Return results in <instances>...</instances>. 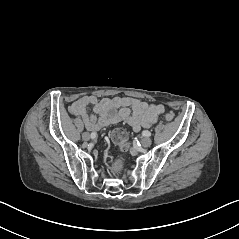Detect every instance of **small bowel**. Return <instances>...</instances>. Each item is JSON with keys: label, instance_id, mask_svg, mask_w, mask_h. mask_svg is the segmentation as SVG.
Wrapping results in <instances>:
<instances>
[{"label": "small bowel", "instance_id": "obj_1", "mask_svg": "<svg viewBox=\"0 0 239 239\" xmlns=\"http://www.w3.org/2000/svg\"><path fill=\"white\" fill-rule=\"evenodd\" d=\"M89 106H93L96 115L89 113ZM70 112L82 119L85 127L90 131L121 121L126 122L134 131L154 125L164 113V107L150 104L132 97H112L98 99L87 95L77 99L69 108Z\"/></svg>", "mask_w": 239, "mask_h": 239}]
</instances>
